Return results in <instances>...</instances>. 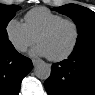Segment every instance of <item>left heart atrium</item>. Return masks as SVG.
<instances>
[{
	"label": "left heart atrium",
	"instance_id": "39dd6f15",
	"mask_svg": "<svg viewBox=\"0 0 95 95\" xmlns=\"http://www.w3.org/2000/svg\"><path fill=\"white\" fill-rule=\"evenodd\" d=\"M31 54L38 56H48L46 50L39 44L32 50Z\"/></svg>",
	"mask_w": 95,
	"mask_h": 95
}]
</instances>
